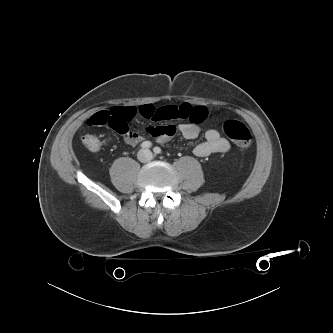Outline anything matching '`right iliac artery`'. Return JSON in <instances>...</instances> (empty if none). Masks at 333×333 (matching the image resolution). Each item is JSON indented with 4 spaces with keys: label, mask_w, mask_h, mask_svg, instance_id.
Segmentation results:
<instances>
[{
    "label": "right iliac artery",
    "mask_w": 333,
    "mask_h": 333,
    "mask_svg": "<svg viewBox=\"0 0 333 333\" xmlns=\"http://www.w3.org/2000/svg\"><path fill=\"white\" fill-rule=\"evenodd\" d=\"M141 147L144 149H148L152 147V143L150 141H144L143 143H141Z\"/></svg>",
    "instance_id": "82829eb1"
}]
</instances>
